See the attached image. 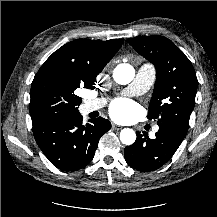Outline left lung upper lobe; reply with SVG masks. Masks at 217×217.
<instances>
[{
	"instance_id": "left-lung-upper-lobe-1",
	"label": "left lung upper lobe",
	"mask_w": 217,
	"mask_h": 217,
	"mask_svg": "<svg viewBox=\"0 0 217 217\" xmlns=\"http://www.w3.org/2000/svg\"><path fill=\"white\" fill-rule=\"evenodd\" d=\"M129 44L156 68V82L149 104V119L188 131L198 80L186 55L169 39L154 35L128 39Z\"/></svg>"
}]
</instances>
